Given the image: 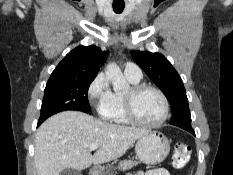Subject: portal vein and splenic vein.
I'll list each match as a JSON object with an SVG mask.
<instances>
[{"label":"portal vein and splenic vein","mask_w":233,"mask_h":175,"mask_svg":"<svg viewBox=\"0 0 233 175\" xmlns=\"http://www.w3.org/2000/svg\"><path fill=\"white\" fill-rule=\"evenodd\" d=\"M99 148V145L98 144H92L91 146H90V150L92 151V150H96V149H98Z\"/></svg>","instance_id":"1"}]
</instances>
